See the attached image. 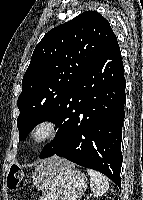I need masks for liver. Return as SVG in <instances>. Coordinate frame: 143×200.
Returning <instances> with one entry per match:
<instances>
[{"mask_svg": "<svg viewBox=\"0 0 143 200\" xmlns=\"http://www.w3.org/2000/svg\"><path fill=\"white\" fill-rule=\"evenodd\" d=\"M70 166H73V164L57 156L43 160L40 165L35 168L33 174V183L35 187L38 190H44L51 176L60 169Z\"/></svg>", "mask_w": 143, "mask_h": 200, "instance_id": "1", "label": "liver"}]
</instances>
